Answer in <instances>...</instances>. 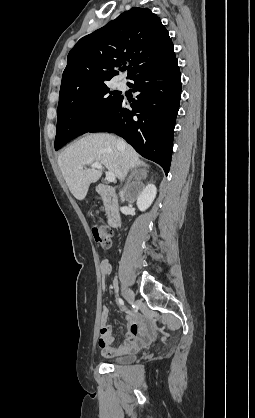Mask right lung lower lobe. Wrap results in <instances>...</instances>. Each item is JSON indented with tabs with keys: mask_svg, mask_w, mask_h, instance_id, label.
<instances>
[{
	"mask_svg": "<svg viewBox=\"0 0 255 418\" xmlns=\"http://www.w3.org/2000/svg\"><path fill=\"white\" fill-rule=\"evenodd\" d=\"M139 92L129 103L123 96L110 115L88 132H112L124 138L143 157L169 172L173 132L181 96V76L176 57L131 78Z\"/></svg>",
	"mask_w": 255,
	"mask_h": 418,
	"instance_id": "98d812e1",
	"label": "right lung lower lobe"
}]
</instances>
